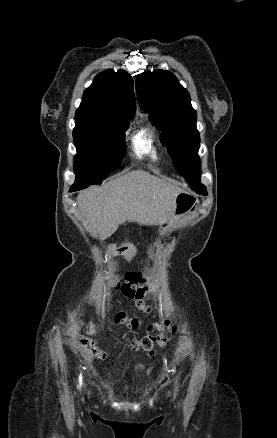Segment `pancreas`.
Returning <instances> with one entry per match:
<instances>
[{"mask_svg": "<svg viewBox=\"0 0 277 438\" xmlns=\"http://www.w3.org/2000/svg\"><path fill=\"white\" fill-rule=\"evenodd\" d=\"M127 244H128L129 246H131L133 243H132L131 241H129Z\"/></svg>", "mask_w": 277, "mask_h": 438, "instance_id": "obj_1", "label": "pancreas"}]
</instances>
